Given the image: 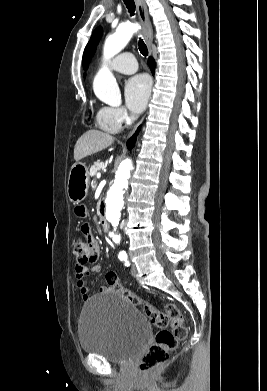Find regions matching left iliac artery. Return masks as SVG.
I'll list each match as a JSON object with an SVG mask.
<instances>
[{
	"label": "left iliac artery",
	"mask_w": 267,
	"mask_h": 391,
	"mask_svg": "<svg viewBox=\"0 0 267 391\" xmlns=\"http://www.w3.org/2000/svg\"><path fill=\"white\" fill-rule=\"evenodd\" d=\"M121 260H126V258H127V255L126 254H123V255H120V257H119Z\"/></svg>",
	"instance_id": "1"
}]
</instances>
